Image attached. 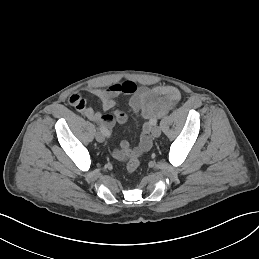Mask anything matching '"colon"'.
<instances>
[{
	"instance_id": "1",
	"label": "colon",
	"mask_w": 259,
	"mask_h": 259,
	"mask_svg": "<svg viewBox=\"0 0 259 259\" xmlns=\"http://www.w3.org/2000/svg\"><path fill=\"white\" fill-rule=\"evenodd\" d=\"M140 165V159L139 156L136 154H133L130 156L129 160L127 161L126 164V171L131 174L135 172Z\"/></svg>"
}]
</instances>
